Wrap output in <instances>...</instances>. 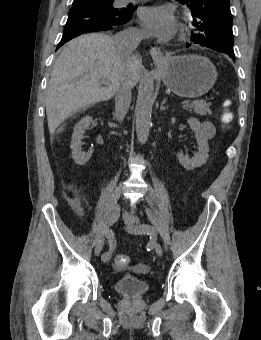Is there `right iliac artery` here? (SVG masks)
Wrapping results in <instances>:
<instances>
[{"mask_svg":"<svg viewBox=\"0 0 261 340\" xmlns=\"http://www.w3.org/2000/svg\"><path fill=\"white\" fill-rule=\"evenodd\" d=\"M105 235L107 237L109 249L102 254L101 259L103 262H109V260L111 259L112 253L116 247V238H115L113 231L109 229L105 230Z\"/></svg>","mask_w":261,"mask_h":340,"instance_id":"right-iliac-artery-1","label":"right iliac artery"}]
</instances>
